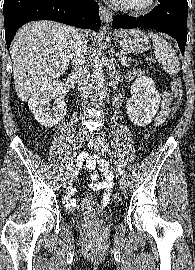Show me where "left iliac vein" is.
I'll return each instance as SVG.
<instances>
[{"label":"left iliac vein","mask_w":195,"mask_h":270,"mask_svg":"<svg viewBox=\"0 0 195 270\" xmlns=\"http://www.w3.org/2000/svg\"><path fill=\"white\" fill-rule=\"evenodd\" d=\"M89 148L95 152H102L104 150V143L100 137H97L96 140L89 141ZM120 188L123 192L127 191L128 184L124 177L120 179Z\"/></svg>","instance_id":"obj_1"}]
</instances>
